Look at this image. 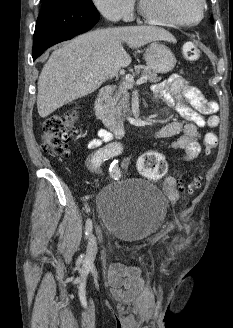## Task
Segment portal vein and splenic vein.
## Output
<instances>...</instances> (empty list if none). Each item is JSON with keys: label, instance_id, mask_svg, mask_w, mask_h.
I'll list each match as a JSON object with an SVG mask.
<instances>
[{"label": "portal vein and splenic vein", "instance_id": "1", "mask_svg": "<svg viewBox=\"0 0 233 328\" xmlns=\"http://www.w3.org/2000/svg\"><path fill=\"white\" fill-rule=\"evenodd\" d=\"M125 80H126V82H128V83H135L134 82V79H133V77L131 76V75H126L125 76ZM147 81V78L146 77H141L140 79H138L137 81H136V84L137 85H140V84H143V83H145Z\"/></svg>", "mask_w": 233, "mask_h": 328}]
</instances>
